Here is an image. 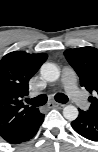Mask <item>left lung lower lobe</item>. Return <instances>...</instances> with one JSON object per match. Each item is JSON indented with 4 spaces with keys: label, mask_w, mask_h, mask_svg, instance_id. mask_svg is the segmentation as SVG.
I'll list each match as a JSON object with an SVG mask.
<instances>
[{
    "label": "left lung lower lobe",
    "mask_w": 98,
    "mask_h": 152,
    "mask_svg": "<svg viewBox=\"0 0 98 152\" xmlns=\"http://www.w3.org/2000/svg\"><path fill=\"white\" fill-rule=\"evenodd\" d=\"M71 126L83 137L92 141L98 140V117L79 110V116L72 121Z\"/></svg>",
    "instance_id": "1"
}]
</instances>
